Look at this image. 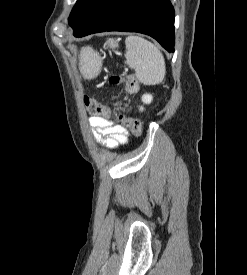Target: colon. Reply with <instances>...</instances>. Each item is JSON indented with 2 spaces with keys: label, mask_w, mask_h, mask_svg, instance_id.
<instances>
[{
  "label": "colon",
  "mask_w": 247,
  "mask_h": 275,
  "mask_svg": "<svg viewBox=\"0 0 247 275\" xmlns=\"http://www.w3.org/2000/svg\"><path fill=\"white\" fill-rule=\"evenodd\" d=\"M109 82L112 85H117L124 82L125 90L129 94H133L138 90V81L132 76L128 75L126 77H121L119 75H113L109 78ZM84 103L88 112L92 115H104L106 117L110 116V111L107 107L103 106L97 100L90 98L88 96L84 97ZM118 120L121 125L128 128L133 134L140 135L142 133V125L139 120L127 116L125 113H119Z\"/></svg>",
  "instance_id": "1"
}]
</instances>
